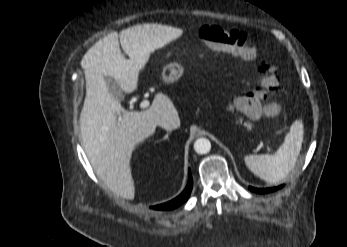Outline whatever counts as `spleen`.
Returning a JSON list of instances; mask_svg holds the SVG:
<instances>
[{"instance_id":"spleen-1","label":"spleen","mask_w":347,"mask_h":247,"mask_svg":"<svg viewBox=\"0 0 347 247\" xmlns=\"http://www.w3.org/2000/svg\"><path fill=\"white\" fill-rule=\"evenodd\" d=\"M303 137V123L296 120L275 154L247 155L244 158L245 164L262 180L271 184L278 183L293 170L302 148Z\"/></svg>"}]
</instances>
